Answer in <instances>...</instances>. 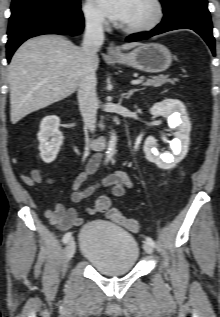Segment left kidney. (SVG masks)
<instances>
[{
    "instance_id": "left-kidney-1",
    "label": "left kidney",
    "mask_w": 220,
    "mask_h": 317,
    "mask_svg": "<svg viewBox=\"0 0 220 317\" xmlns=\"http://www.w3.org/2000/svg\"><path fill=\"white\" fill-rule=\"evenodd\" d=\"M150 113L155 117H166L169 127L177 128V131L173 134L174 139L170 142L173 154H160L156 148V140L152 136H149L144 143V152L147 159L159 168L170 169L180 162L188 151L191 124L185 106L179 100L165 99L154 104Z\"/></svg>"
}]
</instances>
